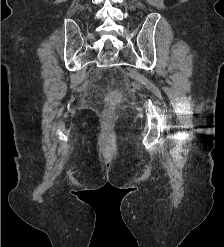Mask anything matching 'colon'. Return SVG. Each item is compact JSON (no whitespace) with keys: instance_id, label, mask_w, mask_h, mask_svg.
I'll list each match as a JSON object with an SVG mask.
<instances>
[{"instance_id":"1","label":"colon","mask_w":224,"mask_h":247,"mask_svg":"<svg viewBox=\"0 0 224 247\" xmlns=\"http://www.w3.org/2000/svg\"><path fill=\"white\" fill-rule=\"evenodd\" d=\"M119 100V93L112 91L109 93L108 95V103L110 105H114L115 103H117Z\"/></svg>"}]
</instances>
